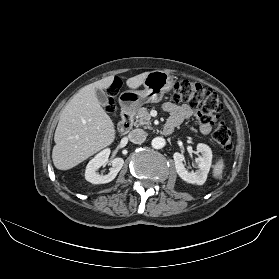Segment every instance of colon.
<instances>
[{
	"mask_svg": "<svg viewBox=\"0 0 279 279\" xmlns=\"http://www.w3.org/2000/svg\"><path fill=\"white\" fill-rule=\"evenodd\" d=\"M119 88L118 83H113L111 94H116ZM172 99L175 103H187L195 111L200 122L214 124L213 139L224 150L232 149V133L225 125L222 103L212 89L198 82L180 81L174 85ZM107 110H114L113 102L109 103Z\"/></svg>",
	"mask_w": 279,
	"mask_h": 279,
	"instance_id": "5ec220e1",
	"label": "colon"
}]
</instances>
